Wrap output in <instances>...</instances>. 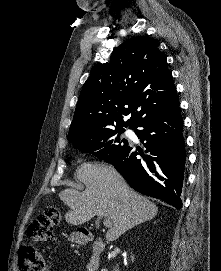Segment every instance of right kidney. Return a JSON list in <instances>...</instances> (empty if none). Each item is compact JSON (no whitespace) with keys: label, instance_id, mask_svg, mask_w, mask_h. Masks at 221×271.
Returning <instances> with one entry per match:
<instances>
[{"label":"right kidney","instance_id":"right-kidney-1","mask_svg":"<svg viewBox=\"0 0 221 271\" xmlns=\"http://www.w3.org/2000/svg\"><path fill=\"white\" fill-rule=\"evenodd\" d=\"M131 261H134L133 255H131ZM101 271H108V269H101Z\"/></svg>","mask_w":221,"mask_h":271}]
</instances>
